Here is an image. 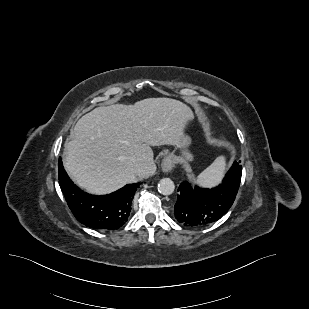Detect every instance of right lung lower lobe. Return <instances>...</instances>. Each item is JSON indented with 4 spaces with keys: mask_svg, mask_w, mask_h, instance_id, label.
I'll return each instance as SVG.
<instances>
[{
    "mask_svg": "<svg viewBox=\"0 0 309 309\" xmlns=\"http://www.w3.org/2000/svg\"><path fill=\"white\" fill-rule=\"evenodd\" d=\"M59 185L76 219L95 229L115 230L128 220L131 202L140 183L128 184L120 190L103 196L90 195L80 190L58 162Z\"/></svg>",
    "mask_w": 309,
    "mask_h": 309,
    "instance_id": "1",
    "label": "right lung lower lobe"
}]
</instances>
